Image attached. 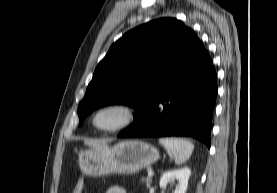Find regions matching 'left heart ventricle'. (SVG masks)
<instances>
[{"label":"left heart ventricle","instance_id":"obj_1","mask_svg":"<svg viewBox=\"0 0 277 193\" xmlns=\"http://www.w3.org/2000/svg\"><path fill=\"white\" fill-rule=\"evenodd\" d=\"M120 117L121 115L118 111L108 110L100 113L96 117L95 121L99 127L108 128L115 125L119 121Z\"/></svg>","mask_w":277,"mask_h":193}]
</instances>
